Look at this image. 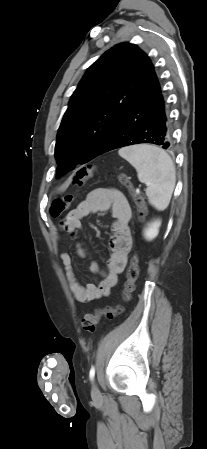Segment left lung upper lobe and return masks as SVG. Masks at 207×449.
<instances>
[{
    "label": "left lung upper lobe",
    "mask_w": 207,
    "mask_h": 449,
    "mask_svg": "<svg viewBox=\"0 0 207 449\" xmlns=\"http://www.w3.org/2000/svg\"><path fill=\"white\" fill-rule=\"evenodd\" d=\"M154 73L149 57L130 43L114 46L93 63L63 116L55 146L57 163L63 162L66 153L71 169L95 158Z\"/></svg>",
    "instance_id": "left-lung-upper-lobe-1"
}]
</instances>
